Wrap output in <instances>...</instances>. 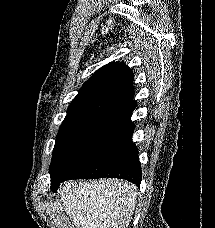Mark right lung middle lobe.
I'll return each mask as SVG.
<instances>
[{
  "mask_svg": "<svg viewBox=\"0 0 215 228\" xmlns=\"http://www.w3.org/2000/svg\"><path fill=\"white\" fill-rule=\"evenodd\" d=\"M129 126L120 122L97 120L59 131L50 165L51 189L68 172Z\"/></svg>",
  "mask_w": 215,
  "mask_h": 228,
  "instance_id": "obj_1",
  "label": "right lung middle lobe"
}]
</instances>
